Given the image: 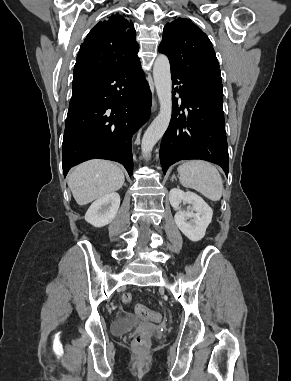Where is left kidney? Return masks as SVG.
<instances>
[{
  "mask_svg": "<svg viewBox=\"0 0 291 381\" xmlns=\"http://www.w3.org/2000/svg\"><path fill=\"white\" fill-rule=\"evenodd\" d=\"M169 201L176 210L174 220L180 231L191 241L201 240L212 220L211 207L199 195L178 188L170 190ZM182 202L190 204L191 210H182Z\"/></svg>",
  "mask_w": 291,
  "mask_h": 381,
  "instance_id": "1",
  "label": "left kidney"
}]
</instances>
